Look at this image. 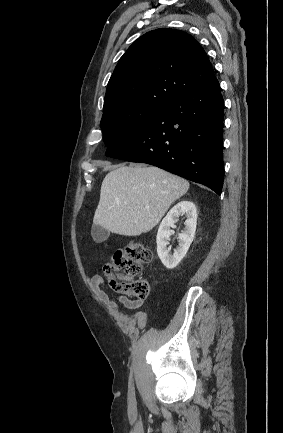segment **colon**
I'll list each match as a JSON object with an SVG mask.
<instances>
[{
    "mask_svg": "<svg viewBox=\"0 0 283 433\" xmlns=\"http://www.w3.org/2000/svg\"><path fill=\"white\" fill-rule=\"evenodd\" d=\"M151 259L150 248L141 242L131 241L117 250L104 266L110 288L134 299H146L150 291L148 282L134 277L141 273L144 265Z\"/></svg>",
    "mask_w": 283,
    "mask_h": 433,
    "instance_id": "colon-1",
    "label": "colon"
}]
</instances>
